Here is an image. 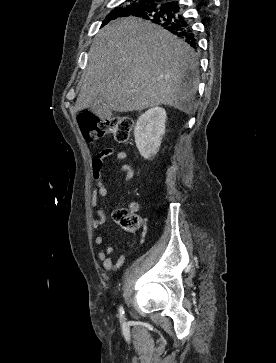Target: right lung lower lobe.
<instances>
[{
  "mask_svg": "<svg viewBox=\"0 0 276 363\" xmlns=\"http://www.w3.org/2000/svg\"><path fill=\"white\" fill-rule=\"evenodd\" d=\"M159 2V4L133 16L141 17L162 26L196 49L197 42L193 30L188 19L183 16L178 1L163 0Z\"/></svg>",
  "mask_w": 276,
  "mask_h": 363,
  "instance_id": "1",
  "label": "right lung lower lobe"
}]
</instances>
